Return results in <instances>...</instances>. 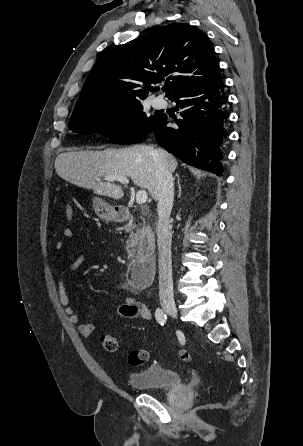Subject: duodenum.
Instances as JSON below:
<instances>
[{
    "mask_svg": "<svg viewBox=\"0 0 303 446\" xmlns=\"http://www.w3.org/2000/svg\"><path fill=\"white\" fill-rule=\"evenodd\" d=\"M132 216L128 209H121L118 212V218L122 221L128 220ZM155 260L152 256H137L129 267V280L131 285L136 289H143L148 286L155 274Z\"/></svg>",
    "mask_w": 303,
    "mask_h": 446,
    "instance_id": "1",
    "label": "duodenum"
}]
</instances>
